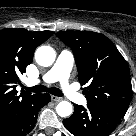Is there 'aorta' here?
<instances>
[{
  "label": "aorta",
  "instance_id": "762f6f07",
  "mask_svg": "<svg viewBox=\"0 0 136 136\" xmlns=\"http://www.w3.org/2000/svg\"><path fill=\"white\" fill-rule=\"evenodd\" d=\"M55 58V50L50 46H41L35 52V60L40 66H51ZM56 112L61 117L70 116L73 112L72 104L67 101H61L56 106Z\"/></svg>",
  "mask_w": 136,
  "mask_h": 136
}]
</instances>
